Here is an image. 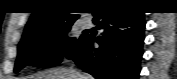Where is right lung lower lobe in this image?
Returning a JSON list of instances; mask_svg holds the SVG:
<instances>
[{
    "label": "right lung lower lobe",
    "instance_id": "1",
    "mask_svg": "<svg viewBox=\"0 0 177 79\" xmlns=\"http://www.w3.org/2000/svg\"><path fill=\"white\" fill-rule=\"evenodd\" d=\"M101 36H83L68 59L96 79H138L144 41V13L112 5L94 15ZM99 44L98 48L93 43Z\"/></svg>",
    "mask_w": 177,
    "mask_h": 79
}]
</instances>
